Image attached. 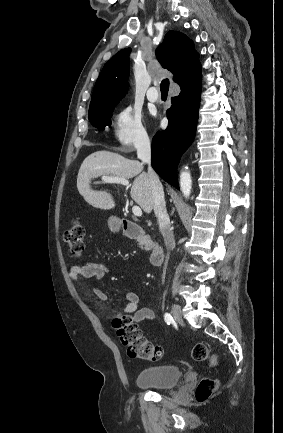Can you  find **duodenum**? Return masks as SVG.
I'll use <instances>...</instances> for the list:
<instances>
[{
  "label": "duodenum",
  "instance_id": "obj_1",
  "mask_svg": "<svg viewBox=\"0 0 283 433\" xmlns=\"http://www.w3.org/2000/svg\"><path fill=\"white\" fill-rule=\"evenodd\" d=\"M124 234L131 239L137 240L145 246L151 247L150 262L154 266L162 264L164 259V250L161 246L153 244L147 232L138 224L130 220H124L122 223Z\"/></svg>",
  "mask_w": 283,
  "mask_h": 433
}]
</instances>
